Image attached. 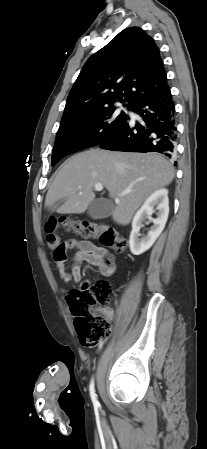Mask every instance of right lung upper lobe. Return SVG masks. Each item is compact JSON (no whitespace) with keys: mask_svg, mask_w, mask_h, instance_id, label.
<instances>
[{"mask_svg":"<svg viewBox=\"0 0 207 449\" xmlns=\"http://www.w3.org/2000/svg\"><path fill=\"white\" fill-rule=\"evenodd\" d=\"M169 89L160 51L138 27L124 29L84 64L67 98L62 120L156 97Z\"/></svg>","mask_w":207,"mask_h":449,"instance_id":"1","label":"right lung upper lobe"}]
</instances>
